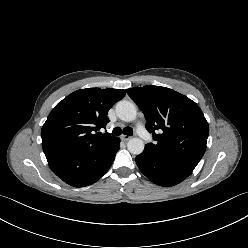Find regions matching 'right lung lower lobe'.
<instances>
[{"instance_id":"obj_1","label":"right lung lower lobe","mask_w":248,"mask_h":248,"mask_svg":"<svg viewBox=\"0 0 248 248\" xmlns=\"http://www.w3.org/2000/svg\"><path fill=\"white\" fill-rule=\"evenodd\" d=\"M120 140L116 137L110 144L82 154H52L46 156L51 170L65 183L84 187L96 182L110 168Z\"/></svg>"}]
</instances>
